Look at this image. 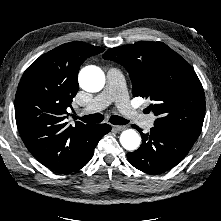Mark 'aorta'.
Wrapping results in <instances>:
<instances>
[{
	"label": "aorta",
	"instance_id": "aorta-1",
	"mask_svg": "<svg viewBox=\"0 0 221 221\" xmlns=\"http://www.w3.org/2000/svg\"><path fill=\"white\" fill-rule=\"evenodd\" d=\"M79 84L87 92H99L105 85L104 72L97 66H86L79 73ZM140 142L141 137L134 129H127L120 135V143L126 150H136Z\"/></svg>",
	"mask_w": 221,
	"mask_h": 221
}]
</instances>
